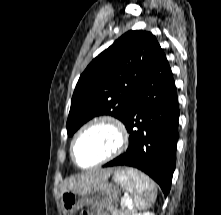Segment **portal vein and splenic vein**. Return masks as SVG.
<instances>
[{
	"label": "portal vein and splenic vein",
	"mask_w": 221,
	"mask_h": 215,
	"mask_svg": "<svg viewBox=\"0 0 221 215\" xmlns=\"http://www.w3.org/2000/svg\"><path fill=\"white\" fill-rule=\"evenodd\" d=\"M128 205V201L126 200H121V206H127Z\"/></svg>",
	"instance_id": "1"
}]
</instances>
